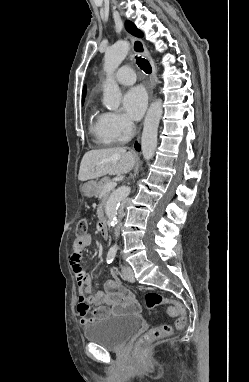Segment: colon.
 Here are the masks:
<instances>
[{"label": "colon", "mask_w": 249, "mask_h": 382, "mask_svg": "<svg viewBox=\"0 0 249 382\" xmlns=\"http://www.w3.org/2000/svg\"><path fill=\"white\" fill-rule=\"evenodd\" d=\"M88 229V221L86 219H80L76 227V239L79 241L84 240L88 235ZM145 303L147 308L149 309L162 304L167 305L169 314L172 316H176L175 327L177 329H182L185 327L186 311L180 303L168 299L155 291H150L146 294ZM172 332L173 327L169 324H163L161 326L148 330L143 335H141L136 342L135 350L137 354H140L144 348L150 346L155 341L171 335Z\"/></svg>", "instance_id": "5ec220e1"}]
</instances>
